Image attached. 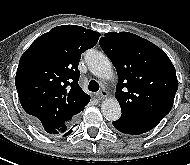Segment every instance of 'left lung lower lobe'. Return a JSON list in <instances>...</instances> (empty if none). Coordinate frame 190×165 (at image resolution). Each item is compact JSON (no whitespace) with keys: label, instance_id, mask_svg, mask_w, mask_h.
<instances>
[{"label":"left lung lower lobe","instance_id":"obj_1","mask_svg":"<svg viewBox=\"0 0 190 165\" xmlns=\"http://www.w3.org/2000/svg\"><path fill=\"white\" fill-rule=\"evenodd\" d=\"M159 122L154 119L136 118L122 114L117 121L113 122V126L122 133L137 135L151 130Z\"/></svg>","mask_w":190,"mask_h":165}]
</instances>
